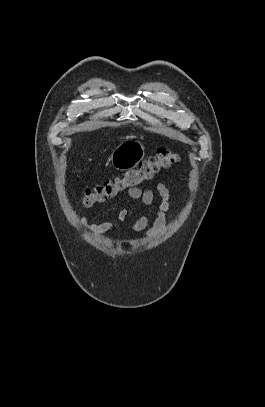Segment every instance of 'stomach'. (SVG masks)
Returning a JSON list of instances; mask_svg holds the SVG:
<instances>
[{"label": "stomach", "mask_w": 265, "mask_h": 407, "mask_svg": "<svg viewBox=\"0 0 265 407\" xmlns=\"http://www.w3.org/2000/svg\"><path fill=\"white\" fill-rule=\"evenodd\" d=\"M145 149L138 140H130L121 143L113 151L110 161L117 170H129L136 167L144 158Z\"/></svg>", "instance_id": "0dacf381"}]
</instances>
